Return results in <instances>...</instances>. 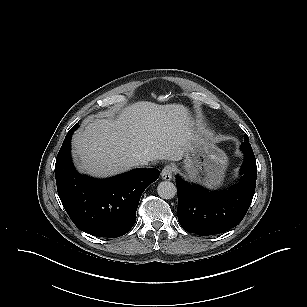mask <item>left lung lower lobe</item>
Segmentation results:
<instances>
[{
  "instance_id": "obj_1",
  "label": "left lung lower lobe",
  "mask_w": 307,
  "mask_h": 307,
  "mask_svg": "<svg viewBox=\"0 0 307 307\" xmlns=\"http://www.w3.org/2000/svg\"><path fill=\"white\" fill-rule=\"evenodd\" d=\"M240 182L226 191H208L176 177L178 221L189 233L214 235L237 226L250 207L256 185L257 167L253 152H244Z\"/></svg>"
}]
</instances>
